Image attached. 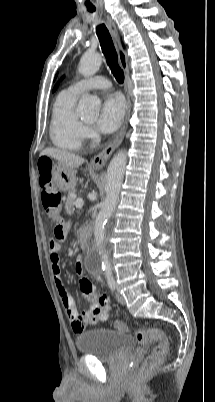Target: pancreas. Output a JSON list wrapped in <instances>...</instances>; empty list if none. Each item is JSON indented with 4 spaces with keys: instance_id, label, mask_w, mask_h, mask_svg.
<instances>
[{
    "instance_id": "1",
    "label": "pancreas",
    "mask_w": 215,
    "mask_h": 402,
    "mask_svg": "<svg viewBox=\"0 0 215 402\" xmlns=\"http://www.w3.org/2000/svg\"><path fill=\"white\" fill-rule=\"evenodd\" d=\"M75 189H72L68 193V197L65 204V211L67 214H73L75 211L74 204H75Z\"/></svg>"
}]
</instances>
